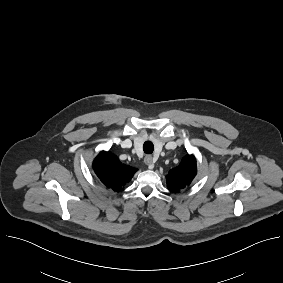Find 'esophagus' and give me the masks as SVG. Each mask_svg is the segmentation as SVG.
<instances>
[{
	"label": "esophagus",
	"instance_id": "esophagus-1",
	"mask_svg": "<svg viewBox=\"0 0 283 283\" xmlns=\"http://www.w3.org/2000/svg\"><path fill=\"white\" fill-rule=\"evenodd\" d=\"M144 162L149 166L150 169L154 167L153 157L151 155H146L144 158Z\"/></svg>",
	"mask_w": 283,
	"mask_h": 283
}]
</instances>
